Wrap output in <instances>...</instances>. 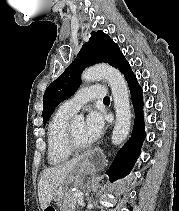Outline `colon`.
Segmentation results:
<instances>
[{
	"label": "colon",
	"mask_w": 179,
	"mask_h": 211,
	"mask_svg": "<svg viewBox=\"0 0 179 211\" xmlns=\"http://www.w3.org/2000/svg\"><path fill=\"white\" fill-rule=\"evenodd\" d=\"M44 211H56L52 206H49L44 209Z\"/></svg>",
	"instance_id": "1"
}]
</instances>
